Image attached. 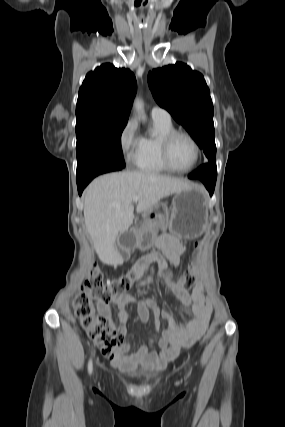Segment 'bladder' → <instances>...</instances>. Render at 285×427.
<instances>
[{
    "label": "bladder",
    "instance_id": "1",
    "mask_svg": "<svg viewBox=\"0 0 285 427\" xmlns=\"http://www.w3.org/2000/svg\"><path fill=\"white\" fill-rule=\"evenodd\" d=\"M152 377H153V375H145V376L140 377L139 379H141V380H148V379H150Z\"/></svg>",
    "mask_w": 285,
    "mask_h": 427
}]
</instances>
